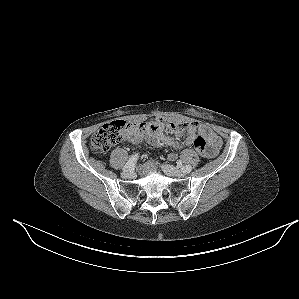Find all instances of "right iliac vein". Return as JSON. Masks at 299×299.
Returning <instances> with one entry per match:
<instances>
[{
    "mask_svg": "<svg viewBox=\"0 0 299 299\" xmlns=\"http://www.w3.org/2000/svg\"><path fill=\"white\" fill-rule=\"evenodd\" d=\"M133 176V172H131V171H123V173H122V177L123 178H131Z\"/></svg>",
    "mask_w": 299,
    "mask_h": 299,
    "instance_id": "1",
    "label": "right iliac vein"
}]
</instances>
